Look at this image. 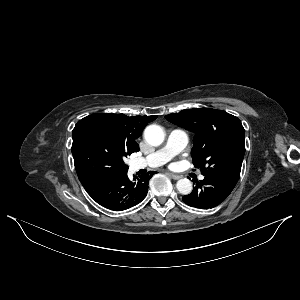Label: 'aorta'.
Here are the masks:
<instances>
[{"mask_svg":"<svg viewBox=\"0 0 300 300\" xmlns=\"http://www.w3.org/2000/svg\"><path fill=\"white\" fill-rule=\"evenodd\" d=\"M164 131L159 125H149L144 131L145 140L152 146H158L164 141ZM177 190L183 195H188L192 192V182L187 179H180L176 184Z\"/></svg>","mask_w":300,"mask_h":300,"instance_id":"762f6f07","label":"aorta"}]
</instances>
